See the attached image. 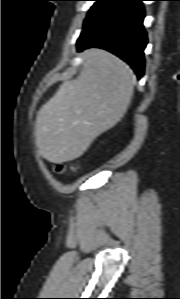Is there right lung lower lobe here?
<instances>
[{
	"label": "right lung lower lobe",
	"mask_w": 180,
	"mask_h": 299,
	"mask_svg": "<svg viewBox=\"0 0 180 299\" xmlns=\"http://www.w3.org/2000/svg\"><path fill=\"white\" fill-rule=\"evenodd\" d=\"M142 1L108 0L104 3L85 20L77 41L78 50L90 47L106 49L127 62L141 78L147 44Z\"/></svg>",
	"instance_id": "right-lung-lower-lobe-1"
}]
</instances>
